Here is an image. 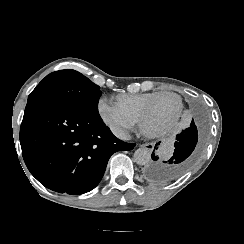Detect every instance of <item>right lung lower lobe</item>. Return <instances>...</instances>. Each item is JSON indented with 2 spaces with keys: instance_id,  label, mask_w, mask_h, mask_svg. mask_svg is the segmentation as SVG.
<instances>
[{
  "instance_id": "98d812e1",
  "label": "right lung lower lobe",
  "mask_w": 244,
  "mask_h": 244,
  "mask_svg": "<svg viewBox=\"0 0 244 244\" xmlns=\"http://www.w3.org/2000/svg\"><path fill=\"white\" fill-rule=\"evenodd\" d=\"M20 143L31 174L45 187L72 195L95 188L111 155L135 146L116 138L98 112L54 101L27 102Z\"/></svg>"
}]
</instances>
